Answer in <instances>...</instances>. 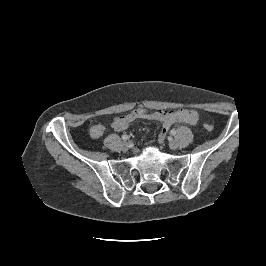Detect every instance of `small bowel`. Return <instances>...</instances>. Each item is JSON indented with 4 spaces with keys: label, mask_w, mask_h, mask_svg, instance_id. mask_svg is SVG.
Segmentation results:
<instances>
[{
    "label": "small bowel",
    "mask_w": 266,
    "mask_h": 266,
    "mask_svg": "<svg viewBox=\"0 0 266 266\" xmlns=\"http://www.w3.org/2000/svg\"><path fill=\"white\" fill-rule=\"evenodd\" d=\"M199 115L192 109H177L173 111H167L163 113L153 114H136L132 111L128 114L116 117L112 122V128L118 132L126 130L129 125L136 120H152L161 124V131L158 136L160 142H163L166 138L167 132L170 127L176 123H185L189 125H195L198 122ZM105 131V127L102 124H95L90 128V135L92 138H100Z\"/></svg>",
    "instance_id": "c3829d8e"
}]
</instances>
